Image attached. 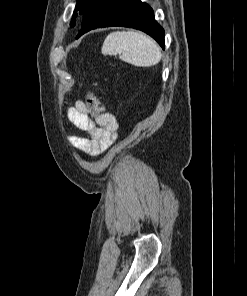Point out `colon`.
I'll use <instances>...</instances> for the list:
<instances>
[{
    "instance_id": "obj_1",
    "label": "colon",
    "mask_w": 247,
    "mask_h": 296,
    "mask_svg": "<svg viewBox=\"0 0 247 296\" xmlns=\"http://www.w3.org/2000/svg\"><path fill=\"white\" fill-rule=\"evenodd\" d=\"M87 106L95 114H102L104 112V106L93 92H88L87 94Z\"/></svg>"
}]
</instances>
